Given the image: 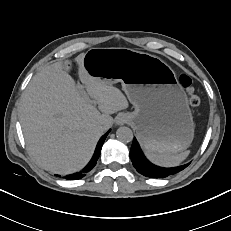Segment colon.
I'll list each match as a JSON object with an SVG mask.
<instances>
[{"mask_svg": "<svg viewBox=\"0 0 231 231\" xmlns=\"http://www.w3.org/2000/svg\"><path fill=\"white\" fill-rule=\"evenodd\" d=\"M180 82L189 94V104L192 107H197L200 104V97L194 92L190 77L187 75H182L180 77Z\"/></svg>", "mask_w": 231, "mask_h": 231, "instance_id": "obj_1", "label": "colon"}]
</instances>
